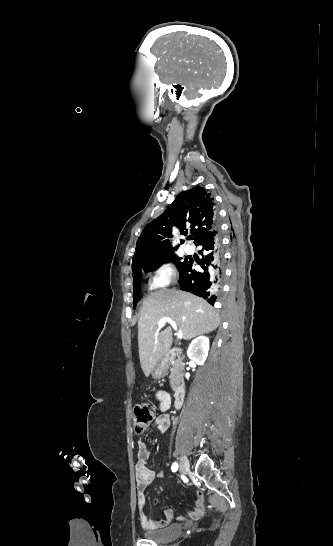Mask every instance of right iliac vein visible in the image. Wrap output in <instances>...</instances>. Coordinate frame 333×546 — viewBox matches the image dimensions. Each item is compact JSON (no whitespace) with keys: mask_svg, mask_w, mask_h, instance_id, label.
<instances>
[{"mask_svg":"<svg viewBox=\"0 0 333 546\" xmlns=\"http://www.w3.org/2000/svg\"><path fill=\"white\" fill-rule=\"evenodd\" d=\"M189 470V461L186 456H182L180 459L179 471L185 474Z\"/></svg>","mask_w":333,"mask_h":546,"instance_id":"1","label":"right iliac vein"}]
</instances>
